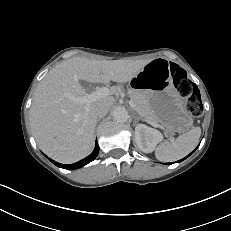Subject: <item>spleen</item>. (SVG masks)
Instances as JSON below:
<instances>
[{
	"instance_id": "spleen-1",
	"label": "spleen",
	"mask_w": 231,
	"mask_h": 231,
	"mask_svg": "<svg viewBox=\"0 0 231 231\" xmlns=\"http://www.w3.org/2000/svg\"><path fill=\"white\" fill-rule=\"evenodd\" d=\"M201 135L200 127L180 135L174 142H164L155 149V157L159 161H176L189 154L197 145Z\"/></svg>"
}]
</instances>
